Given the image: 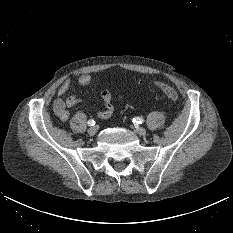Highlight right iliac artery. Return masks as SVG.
Returning <instances> with one entry per match:
<instances>
[{
    "instance_id": "right-iliac-artery-1",
    "label": "right iliac artery",
    "mask_w": 233,
    "mask_h": 233,
    "mask_svg": "<svg viewBox=\"0 0 233 233\" xmlns=\"http://www.w3.org/2000/svg\"><path fill=\"white\" fill-rule=\"evenodd\" d=\"M88 125L89 126H94L95 125V121L94 120H89L88 121Z\"/></svg>"
}]
</instances>
